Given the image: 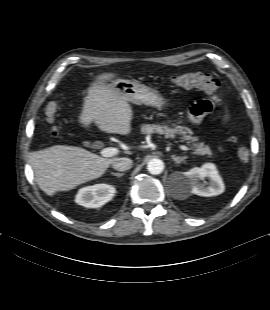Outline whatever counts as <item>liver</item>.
Masks as SVG:
<instances>
[{
	"label": "liver",
	"mask_w": 270,
	"mask_h": 310,
	"mask_svg": "<svg viewBox=\"0 0 270 310\" xmlns=\"http://www.w3.org/2000/svg\"><path fill=\"white\" fill-rule=\"evenodd\" d=\"M116 74L97 75L87 89L78 122L89 128L92 123L107 133L128 135L133 110L125 96L112 89ZM111 81V84H108ZM118 159L103 158L81 147L54 145L30 155V164L40 189L48 196L69 191L101 177Z\"/></svg>",
	"instance_id": "obj_1"
}]
</instances>
